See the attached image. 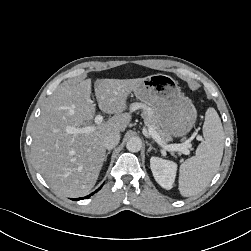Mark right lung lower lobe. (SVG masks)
I'll return each mask as SVG.
<instances>
[{
	"label": "right lung lower lobe",
	"instance_id": "obj_1",
	"mask_svg": "<svg viewBox=\"0 0 251 251\" xmlns=\"http://www.w3.org/2000/svg\"><path fill=\"white\" fill-rule=\"evenodd\" d=\"M102 187V186H101ZM100 187V188H101ZM100 188H98L95 192H93L92 194H90V195H88V196H86V197H84V198H88V197H90L91 195H93L94 193H96ZM83 198V199H84ZM73 200H80V198H77V199H73Z\"/></svg>",
	"mask_w": 251,
	"mask_h": 251
}]
</instances>
